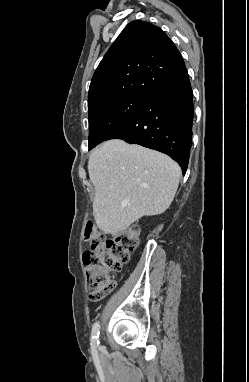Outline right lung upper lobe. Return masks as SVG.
<instances>
[{"mask_svg":"<svg viewBox=\"0 0 249 382\" xmlns=\"http://www.w3.org/2000/svg\"><path fill=\"white\" fill-rule=\"evenodd\" d=\"M175 44L159 27L132 21L97 67L88 94V109L118 98L149 96L185 69Z\"/></svg>","mask_w":249,"mask_h":382,"instance_id":"cb5924a9","label":"right lung upper lobe"}]
</instances>
